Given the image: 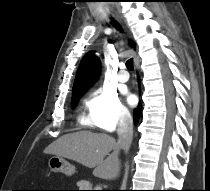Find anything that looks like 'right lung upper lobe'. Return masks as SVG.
I'll use <instances>...</instances> for the list:
<instances>
[{
  "mask_svg": "<svg viewBox=\"0 0 210 191\" xmlns=\"http://www.w3.org/2000/svg\"><path fill=\"white\" fill-rule=\"evenodd\" d=\"M101 63L95 51L88 52L77 70L72 88V99L82 95L96 81L100 74Z\"/></svg>",
  "mask_w": 210,
  "mask_h": 191,
  "instance_id": "obj_1",
  "label": "right lung upper lobe"
}]
</instances>
